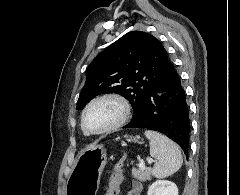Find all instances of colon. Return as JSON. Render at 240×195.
Instances as JSON below:
<instances>
[{"label":"colon","instance_id":"1","mask_svg":"<svg viewBox=\"0 0 240 195\" xmlns=\"http://www.w3.org/2000/svg\"><path fill=\"white\" fill-rule=\"evenodd\" d=\"M122 166L121 165H116L113 172L110 174L109 178V182H110V187L107 188V193L109 195H118L119 193V188H120V183L122 181Z\"/></svg>","mask_w":240,"mask_h":195}]
</instances>
